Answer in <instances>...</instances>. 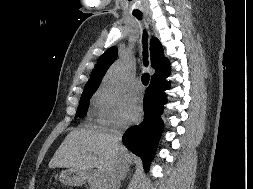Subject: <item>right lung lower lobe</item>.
<instances>
[{
  "label": "right lung lower lobe",
  "mask_w": 253,
  "mask_h": 189,
  "mask_svg": "<svg viewBox=\"0 0 253 189\" xmlns=\"http://www.w3.org/2000/svg\"><path fill=\"white\" fill-rule=\"evenodd\" d=\"M168 76L169 74L151 79L144 95V120L129 128L122 137L123 143L142 159L146 170L149 169L163 129L160 115L167 102L164 91L169 88L166 81Z\"/></svg>",
  "instance_id": "obj_1"
}]
</instances>
